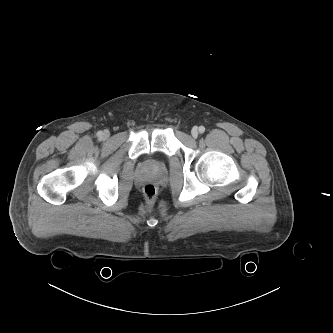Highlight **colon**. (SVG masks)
Listing matches in <instances>:
<instances>
[{
  "mask_svg": "<svg viewBox=\"0 0 333 333\" xmlns=\"http://www.w3.org/2000/svg\"><path fill=\"white\" fill-rule=\"evenodd\" d=\"M143 194L146 205L149 207L153 206L157 197L156 187L152 184H146L143 188Z\"/></svg>",
  "mask_w": 333,
  "mask_h": 333,
  "instance_id": "5ec220e1",
  "label": "colon"
}]
</instances>
